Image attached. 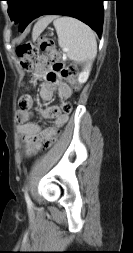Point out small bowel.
<instances>
[{
	"mask_svg": "<svg viewBox=\"0 0 133 253\" xmlns=\"http://www.w3.org/2000/svg\"><path fill=\"white\" fill-rule=\"evenodd\" d=\"M53 56H41L38 58L32 82L35 84L42 81L40 85V96L45 101H50L57 93L62 100H68L72 95L71 87L61 80L58 74H54L48 61H53ZM20 108L16 112L18 131L21 134L27 154L39 149L41 144L55 137L59 129L68 121V115L54 113L58 106L35 108L34 100L29 95L20 98ZM37 112L43 119L51 120L52 124L42 126L31 119L34 112Z\"/></svg>",
	"mask_w": 133,
	"mask_h": 253,
	"instance_id": "small-bowel-1",
	"label": "small bowel"
}]
</instances>
